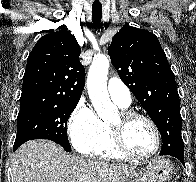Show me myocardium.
Segmentation results:
<instances>
[{
    "instance_id": "f54148a6",
    "label": "myocardium",
    "mask_w": 196,
    "mask_h": 182,
    "mask_svg": "<svg viewBox=\"0 0 196 182\" xmlns=\"http://www.w3.org/2000/svg\"><path fill=\"white\" fill-rule=\"evenodd\" d=\"M118 115L120 117L121 124L119 126H113L109 124L108 126L111 141L115 149L123 156L135 160H147L155 156L161 147V134L156 122L150 116L133 110H121ZM135 119L145 120L151 126L155 135V147L150 153L146 155L136 154L131 151L124 140V127Z\"/></svg>"
}]
</instances>
